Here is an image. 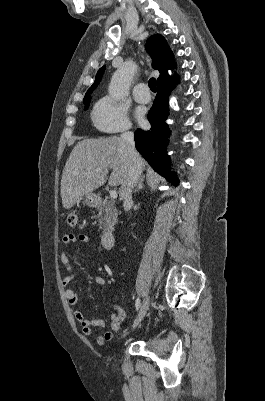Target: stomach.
Returning a JSON list of instances; mask_svg holds the SVG:
<instances>
[{"label":"stomach","mask_w":265,"mask_h":401,"mask_svg":"<svg viewBox=\"0 0 265 401\" xmlns=\"http://www.w3.org/2000/svg\"><path fill=\"white\" fill-rule=\"evenodd\" d=\"M84 203H86L88 207H95V205H97V196H95V194H87Z\"/></svg>","instance_id":"1"}]
</instances>
